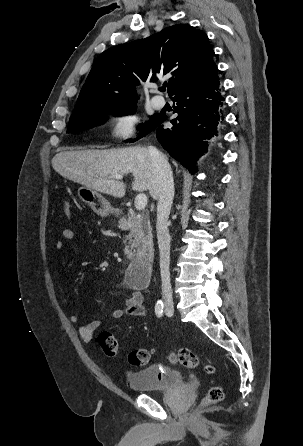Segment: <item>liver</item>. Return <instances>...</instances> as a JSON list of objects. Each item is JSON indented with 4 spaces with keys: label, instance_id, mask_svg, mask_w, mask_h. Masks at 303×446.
<instances>
[{
    "label": "liver",
    "instance_id": "6515ba94",
    "mask_svg": "<svg viewBox=\"0 0 303 446\" xmlns=\"http://www.w3.org/2000/svg\"><path fill=\"white\" fill-rule=\"evenodd\" d=\"M52 167L64 178L117 198L125 195L126 185L113 176L132 173L133 190H149L157 199L152 160L146 147L61 151L53 157Z\"/></svg>",
    "mask_w": 303,
    "mask_h": 446
}]
</instances>
